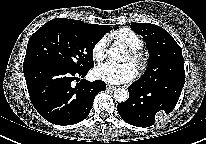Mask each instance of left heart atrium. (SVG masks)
Here are the masks:
<instances>
[{"mask_svg":"<svg viewBox=\"0 0 206 144\" xmlns=\"http://www.w3.org/2000/svg\"><path fill=\"white\" fill-rule=\"evenodd\" d=\"M136 67L132 63L116 64L106 62L95 69V76L110 84H121L135 79Z\"/></svg>","mask_w":206,"mask_h":144,"instance_id":"1","label":"left heart atrium"}]
</instances>
